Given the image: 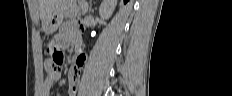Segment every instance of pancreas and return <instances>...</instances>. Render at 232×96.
<instances>
[{
  "label": "pancreas",
  "mask_w": 232,
  "mask_h": 96,
  "mask_svg": "<svg viewBox=\"0 0 232 96\" xmlns=\"http://www.w3.org/2000/svg\"><path fill=\"white\" fill-rule=\"evenodd\" d=\"M83 5L80 3L78 5H73L69 10H67L64 13V16L66 18H76L78 16H81L82 12H83Z\"/></svg>",
  "instance_id": "1"
}]
</instances>
